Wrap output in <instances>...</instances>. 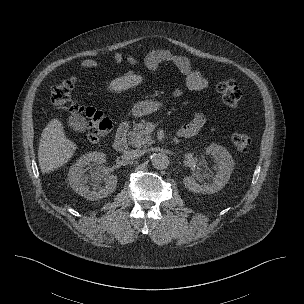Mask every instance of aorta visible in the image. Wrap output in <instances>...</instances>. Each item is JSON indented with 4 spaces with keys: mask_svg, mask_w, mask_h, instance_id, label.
Wrapping results in <instances>:
<instances>
[{
    "mask_svg": "<svg viewBox=\"0 0 304 304\" xmlns=\"http://www.w3.org/2000/svg\"><path fill=\"white\" fill-rule=\"evenodd\" d=\"M151 162L154 168L163 170L169 165V157L164 153H155L151 157Z\"/></svg>",
    "mask_w": 304,
    "mask_h": 304,
    "instance_id": "1",
    "label": "aorta"
}]
</instances>
